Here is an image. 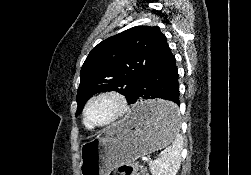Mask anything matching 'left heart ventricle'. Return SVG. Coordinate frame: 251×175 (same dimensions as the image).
I'll return each mask as SVG.
<instances>
[{
  "mask_svg": "<svg viewBox=\"0 0 251 175\" xmlns=\"http://www.w3.org/2000/svg\"><path fill=\"white\" fill-rule=\"evenodd\" d=\"M120 113V102L113 96H103L91 103L88 120L92 125L103 126L114 121Z\"/></svg>",
  "mask_w": 251,
  "mask_h": 175,
  "instance_id": "1",
  "label": "left heart ventricle"
}]
</instances>
